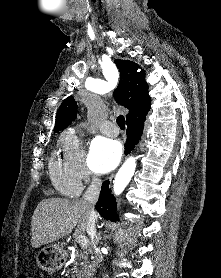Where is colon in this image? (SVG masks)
I'll return each mask as SVG.
<instances>
[{"instance_id":"1","label":"colon","mask_w":221,"mask_h":278,"mask_svg":"<svg viewBox=\"0 0 221 278\" xmlns=\"http://www.w3.org/2000/svg\"><path fill=\"white\" fill-rule=\"evenodd\" d=\"M20 278H32L30 275L27 274H21Z\"/></svg>"}]
</instances>
